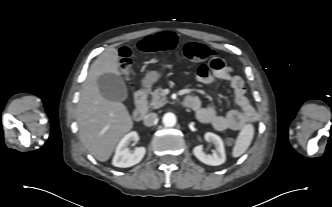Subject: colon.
<instances>
[{
  "instance_id": "colon-1",
  "label": "colon",
  "mask_w": 332,
  "mask_h": 207,
  "mask_svg": "<svg viewBox=\"0 0 332 207\" xmlns=\"http://www.w3.org/2000/svg\"><path fill=\"white\" fill-rule=\"evenodd\" d=\"M177 42V38L174 34L165 32L157 36H150L139 43V49L142 51H167L172 49ZM185 55L188 59L196 62L205 61L207 59L215 60L220 59L219 54L207 46L197 43L189 42L184 48ZM119 68L125 74L129 75L130 72V53L127 48H123L120 53ZM231 138H227V144L232 143Z\"/></svg>"
}]
</instances>
